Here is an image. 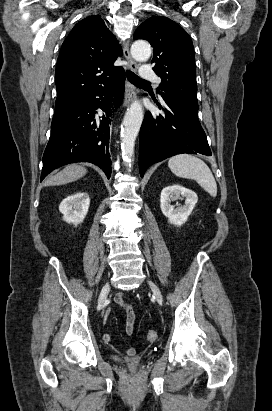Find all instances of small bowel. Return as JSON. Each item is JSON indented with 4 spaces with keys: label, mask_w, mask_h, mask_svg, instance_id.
Wrapping results in <instances>:
<instances>
[{
    "label": "small bowel",
    "mask_w": 272,
    "mask_h": 411,
    "mask_svg": "<svg viewBox=\"0 0 272 411\" xmlns=\"http://www.w3.org/2000/svg\"><path fill=\"white\" fill-rule=\"evenodd\" d=\"M115 303L121 306L125 312V315H126L125 331L127 335L129 336L133 335L134 324H135V313H134L132 306L125 301L122 293H118L115 296ZM103 340L107 343L110 342L111 340L110 335L108 333H105L103 335ZM125 352L127 355H133L135 351L133 348H127Z\"/></svg>",
    "instance_id": "c3829d8e"
}]
</instances>
